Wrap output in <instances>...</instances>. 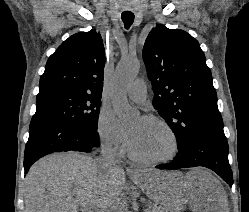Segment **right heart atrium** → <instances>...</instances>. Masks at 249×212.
Segmentation results:
<instances>
[{
	"instance_id": "right-heart-atrium-1",
	"label": "right heart atrium",
	"mask_w": 249,
	"mask_h": 212,
	"mask_svg": "<svg viewBox=\"0 0 249 212\" xmlns=\"http://www.w3.org/2000/svg\"><path fill=\"white\" fill-rule=\"evenodd\" d=\"M95 132L99 143L111 156L121 159L126 155L128 149L125 137L118 127L112 110L106 107L100 109Z\"/></svg>"
}]
</instances>
